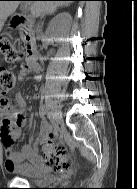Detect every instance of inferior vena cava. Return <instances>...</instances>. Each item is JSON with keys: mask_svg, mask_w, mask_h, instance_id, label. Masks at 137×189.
<instances>
[{"mask_svg": "<svg viewBox=\"0 0 137 189\" xmlns=\"http://www.w3.org/2000/svg\"><path fill=\"white\" fill-rule=\"evenodd\" d=\"M40 31H41L40 26H38L36 32L39 33Z\"/></svg>", "mask_w": 137, "mask_h": 189, "instance_id": "obj_1", "label": "inferior vena cava"}]
</instances>
